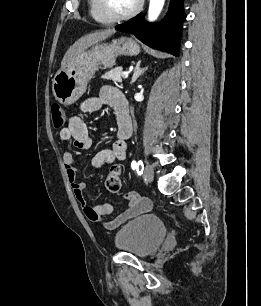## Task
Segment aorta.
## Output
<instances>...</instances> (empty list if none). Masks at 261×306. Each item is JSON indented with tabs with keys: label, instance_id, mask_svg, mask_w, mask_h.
<instances>
[{
	"label": "aorta",
	"instance_id": "aorta-1",
	"mask_svg": "<svg viewBox=\"0 0 261 306\" xmlns=\"http://www.w3.org/2000/svg\"><path fill=\"white\" fill-rule=\"evenodd\" d=\"M165 0H150L149 10H148V19L149 21H154L159 16L162 8L164 6Z\"/></svg>",
	"mask_w": 261,
	"mask_h": 306
}]
</instances>
